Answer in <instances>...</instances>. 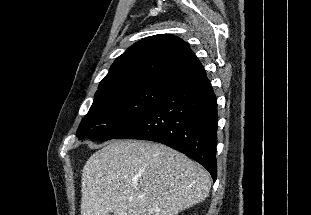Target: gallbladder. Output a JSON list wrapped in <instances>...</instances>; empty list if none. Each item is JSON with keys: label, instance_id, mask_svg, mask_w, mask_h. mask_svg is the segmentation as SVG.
<instances>
[{"label": "gallbladder", "instance_id": "1", "mask_svg": "<svg viewBox=\"0 0 311 215\" xmlns=\"http://www.w3.org/2000/svg\"><path fill=\"white\" fill-rule=\"evenodd\" d=\"M108 215H115V214L111 212V213H109Z\"/></svg>", "mask_w": 311, "mask_h": 215}]
</instances>
